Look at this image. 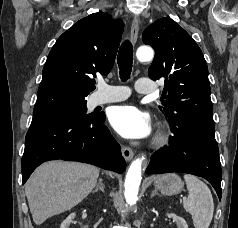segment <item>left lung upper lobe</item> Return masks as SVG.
Returning <instances> with one entry per match:
<instances>
[{"label":"left lung upper lobe","instance_id":"1","mask_svg":"<svg viewBox=\"0 0 238 228\" xmlns=\"http://www.w3.org/2000/svg\"><path fill=\"white\" fill-rule=\"evenodd\" d=\"M142 39L155 49L149 76L165 81L159 109L170 125L214 128L208 67L192 37L172 19L161 18Z\"/></svg>","mask_w":238,"mask_h":228}]
</instances>
